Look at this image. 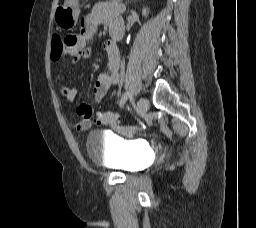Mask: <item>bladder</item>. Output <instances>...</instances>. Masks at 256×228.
<instances>
[{
    "instance_id": "bladder-1",
    "label": "bladder",
    "mask_w": 256,
    "mask_h": 228,
    "mask_svg": "<svg viewBox=\"0 0 256 228\" xmlns=\"http://www.w3.org/2000/svg\"><path fill=\"white\" fill-rule=\"evenodd\" d=\"M86 150L95 162L128 173L144 169L149 158L148 151L143 145L108 138L98 130H93L88 134Z\"/></svg>"
}]
</instances>
